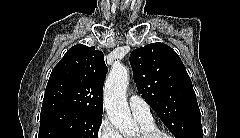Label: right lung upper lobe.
<instances>
[{
    "mask_svg": "<svg viewBox=\"0 0 240 138\" xmlns=\"http://www.w3.org/2000/svg\"><path fill=\"white\" fill-rule=\"evenodd\" d=\"M106 73L101 51L81 44L71 47L52 70L40 116L54 112L102 116Z\"/></svg>",
    "mask_w": 240,
    "mask_h": 138,
    "instance_id": "right-lung-upper-lobe-1",
    "label": "right lung upper lobe"
}]
</instances>
